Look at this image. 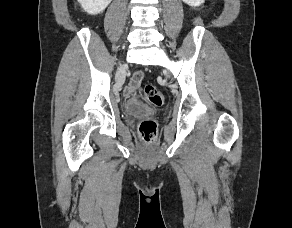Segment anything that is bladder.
<instances>
[{"label":"bladder","instance_id":"bladder-1","mask_svg":"<svg viewBox=\"0 0 292 228\" xmlns=\"http://www.w3.org/2000/svg\"><path fill=\"white\" fill-rule=\"evenodd\" d=\"M125 111L127 114L131 115V116H147V115H151L153 113V110L136 101V100H131L129 101L126 105H125Z\"/></svg>","mask_w":292,"mask_h":228}]
</instances>
